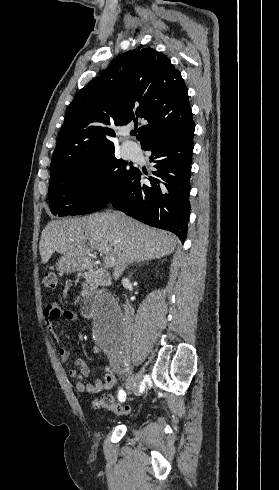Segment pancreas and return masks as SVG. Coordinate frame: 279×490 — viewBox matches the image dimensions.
<instances>
[{"instance_id": "obj_1", "label": "pancreas", "mask_w": 279, "mask_h": 490, "mask_svg": "<svg viewBox=\"0 0 279 490\" xmlns=\"http://www.w3.org/2000/svg\"><path fill=\"white\" fill-rule=\"evenodd\" d=\"M107 278L106 270L103 268L89 270L85 276V282L82 284V296H89L94 290H97L98 286H105Z\"/></svg>"}]
</instances>
